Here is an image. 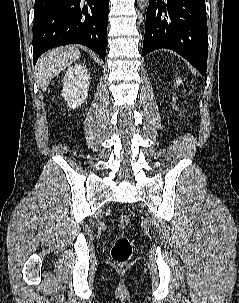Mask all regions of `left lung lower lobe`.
<instances>
[{
    "label": "left lung lower lobe",
    "instance_id": "obj_1",
    "mask_svg": "<svg viewBox=\"0 0 239 303\" xmlns=\"http://www.w3.org/2000/svg\"><path fill=\"white\" fill-rule=\"evenodd\" d=\"M167 48L206 75L208 38L205 0H150L142 56Z\"/></svg>",
    "mask_w": 239,
    "mask_h": 303
}]
</instances>
